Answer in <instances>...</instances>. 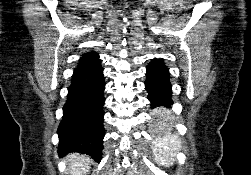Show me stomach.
<instances>
[{"instance_id":"stomach-1","label":"stomach","mask_w":251,"mask_h":175,"mask_svg":"<svg viewBox=\"0 0 251 175\" xmlns=\"http://www.w3.org/2000/svg\"><path fill=\"white\" fill-rule=\"evenodd\" d=\"M154 118H158V115H154ZM151 127H159V124H151ZM166 127V124H163ZM161 134H176V129H161Z\"/></svg>"}]
</instances>
